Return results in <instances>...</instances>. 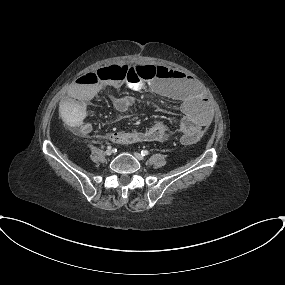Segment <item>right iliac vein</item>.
Listing matches in <instances>:
<instances>
[{"mask_svg":"<svg viewBox=\"0 0 285 285\" xmlns=\"http://www.w3.org/2000/svg\"><path fill=\"white\" fill-rule=\"evenodd\" d=\"M105 154L109 156V155L112 154V151H111L110 149H107V150L105 151Z\"/></svg>","mask_w":285,"mask_h":285,"instance_id":"1","label":"right iliac vein"}]
</instances>
